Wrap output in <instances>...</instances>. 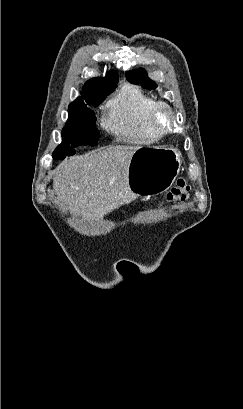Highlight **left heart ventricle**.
<instances>
[{
	"mask_svg": "<svg viewBox=\"0 0 243 409\" xmlns=\"http://www.w3.org/2000/svg\"><path fill=\"white\" fill-rule=\"evenodd\" d=\"M161 124L164 126V127H166V126H168L169 125V118H168V116L167 115H165V114H163L162 116H161Z\"/></svg>",
	"mask_w": 243,
	"mask_h": 409,
	"instance_id": "1",
	"label": "left heart ventricle"
}]
</instances>
